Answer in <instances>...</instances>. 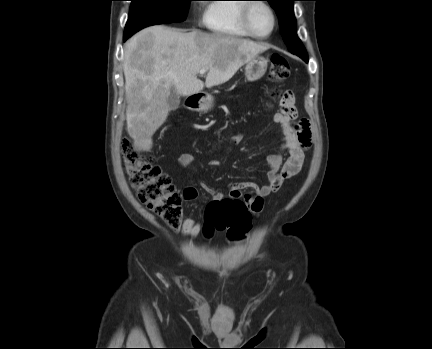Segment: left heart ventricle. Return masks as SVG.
<instances>
[{"label": "left heart ventricle", "instance_id": "1", "mask_svg": "<svg viewBox=\"0 0 432 349\" xmlns=\"http://www.w3.org/2000/svg\"><path fill=\"white\" fill-rule=\"evenodd\" d=\"M272 16L269 10L263 5H255L250 13V24L255 33L267 34L272 27Z\"/></svg>", "mask_w": 432, "mask_h": 349}]
</instances>
